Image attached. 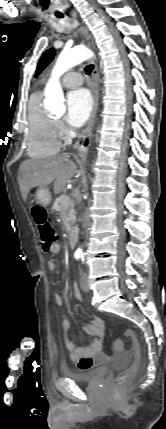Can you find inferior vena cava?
I'll use <instances>...</instances> for the list:
<instances>
[{
	"label": "inferior vena cava",
	"mask_w": 166,
	"mask_h": 429,
	"mask_svg": "<svg viewBox=\"0 0 166 429\" xmlns=\"http://www.w3.org/2000/svg\"><path fill=\"white\" fill-rule=\"evenodd\" d=\"M81 221L83 229L86 230L90 225V218L87 213H83Z\"/></svg>",
	"instance_id": "602c4592"
}]
</instances>
